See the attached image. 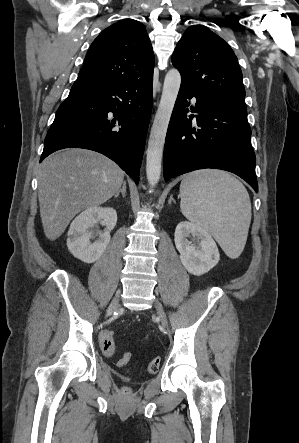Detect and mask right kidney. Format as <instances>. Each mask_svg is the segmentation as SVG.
I'll list each match as a JSON object with an SVG mask.
<instances>
[{
	"label": "right kidney",
	"mask_w": 299,
	"mask_h": 443,
	"mask_svg": "<svg viewBox=\"0 0 299 443\" xmlns=\"http://www.w3.org/2000/svg\"><path fill=\"white\" fill-rule=\"evenodd\" d=\"M101 221L105 226L99 239L91 243L93 229ZM117 223V213L111 207L94 206L80 213L71 223L67 247L71 254L84 263L97 261L110 242V232Z\"/></svg>",
	"instance_id": "right-kidney-1"
}]
</instances>
